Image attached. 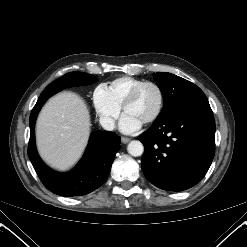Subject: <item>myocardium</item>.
<instances>
[{
	"label": "myocardium",
	"mask_w": 247,
	"mask_h": 247,
	"mask_svg": "<svg viewBox=\"0 0 247 247\" xmlns=\"http://www.w3.org/2000/svg\"><path fill=\"white\" fill-rule=\"evenodd\" d=\"M147 86H152L153 88H155L157 93H158V97H159L158 106H157L156 111L154 112V114L152 116H150L146 121H144L145 124H151V123L155 122L160 117V115L163 111V108H164V103H165L164 91H163L162 87L156 82L144 81V82L140 83L139 85H137L129 93V95L127 96V98L123 102L122 110L125 112L126 108L137 99L140 92Z\"/></svg>",
	"instance_id": "1"
}]
</instances>
